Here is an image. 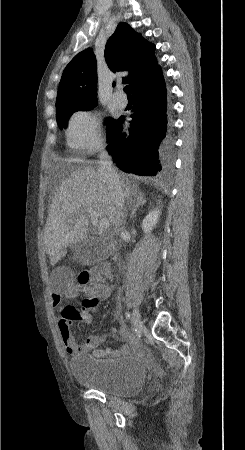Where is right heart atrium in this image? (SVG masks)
I'll return each mask as SVG.
<instances>
[{
  "instance_id": "right-heart-atrium-1",
  "label": "right heart atrium",
  "mask_w": 245,
  "mask_h": 450,
  "mask_svg": "<svg viewBox=\"0 0 245 450\" xmlns=\"http://www.w3.org/2000/svg\"><path fill=\"white\" fill-rule=\"evenodd\" d=\"M70 147L84 153H92L101 148L103 138L99 117L88 111L72 115L66 131Z\"/></svg>"
}]
</instances>
